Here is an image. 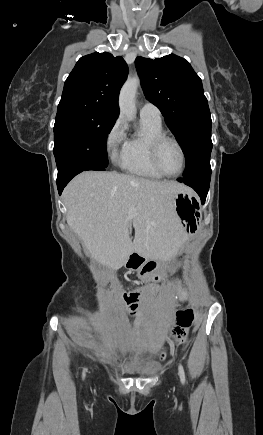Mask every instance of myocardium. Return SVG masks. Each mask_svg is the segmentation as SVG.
<instances>
[{
    "mask_svg": "<svg viewBox=\"0 0 263 435\" xmlns=\"http://www.w3.org/2000/svg\"><path fill=\"white\" fill-rule=\"evenodd\" d=\"M165 142H172L174 143L180 150L181 153V157H182V167L180 169V171L178 173L175 174H169L167 172L164 171V169L162 168L160 161H159V152L160 149L162 147V145ZM150 158H151V162L152 165L154 166V168L162 175L165 177H177L180 176L185 168H186V163H187V159H186V152L185 149L183 147V145L181 144V142L176 139L175 137L169 136V135H160L158 137H156L152 143H151V147H150Z\"/></svg>",
    "mask_w": 263,
    "mask_h": 435,
    "instance_id": "f54148a6",
    "label": "myocardium"
}]
</instances>
